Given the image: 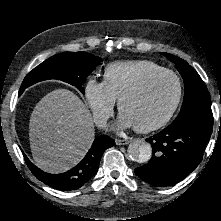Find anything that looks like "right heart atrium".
Masks as SVG:
<instances>
[{
    "label": "right heart atrium",
    "instance_id": "right-heart-atrium-1",
    "mask_svg": "<svg viewBox=\"0 0 221 221\" xmlns=\"http://www.w3.org/2000/svg\"><path fill=\"white\" fill-rule=\"evenodd\" d=\"M84 97L95 121L103 126L114 112L116 98L104 81L89 78L84 84Z\"/></svg>",
    "mask_w": 221,
    "mask_h": 221
}]
</instances>
